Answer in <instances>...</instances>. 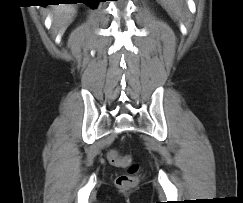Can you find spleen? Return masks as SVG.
<instances>
[{"label": "spleen", "mask_w": 243, "mask_h": 203, "mask_svg": "<svg viewBox=\"0 0 243 203\" xmlns=\"http://www.w3.org/2000/svg\"><path fill=\"white\" fill-rule=\"evenodd\" d=\"M160 3L167 9L169 14L173 17L178 15L181 11L182 0H160Z\"/></svg>", "instance_id": "3e777b00"}]
</instances>
